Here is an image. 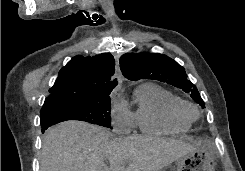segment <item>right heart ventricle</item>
<instances>
[{
	"instance_id": "obj_1",
	"label": "right heart ventricle",
	"mask_w": 245,
	"mask_h": 171,
	"mask_svg": "<svg viewBox=\"0 0 245 171\" xmlns=\"http://www.w3.org/2000/svg\"><path fill=\"white\" fill-rule=\"evenodd\" d=\"M179 100V97L157 84L147 82L139 85L135 91L133 124L145 134L186 132L190 123L174 112V105Z\"/></svg>"
}]
</instances>
